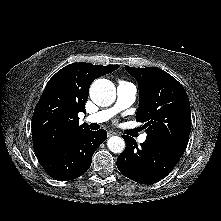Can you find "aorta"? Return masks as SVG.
Instances as JSON below:
<instances>
[{
	"label": "aorta",
	"instance_id": "obj_1",
	"mask_svg": "<svg viewBox=\"0 0 221 221\" xmlns=\"http://www.w3.org/2000/svg\"><path fill=\"white\" fill-rule=\"evenodd\" d=\"M91 100L98 106H110L116 98L114 84L108 79H97L90 87ZM109 150L113 153H121L125 149V141L119 136H112L107 141Z\"/></svg>",
	"mask_w": 221,
	"mask_h": 221
}]
</instances>
